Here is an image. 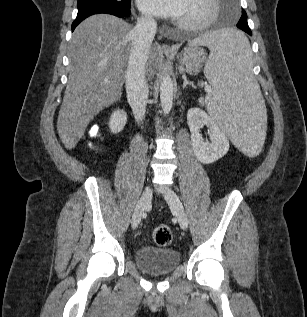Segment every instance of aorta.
Instances as JSON below:
<instances>
[{
	"mask_svg": "<svg viewBox=\"0 0 307 317\" xmlns=\"http://www.w3.org/2000/svg\"><path fill=\"white\" fill-rule=\"evenodd\" d=\"M174 85L171 77H163L160 85V101L164 115H168L173 106Z\"/></svg>",
	"mask_w": 307,
	"mask_h": 317,
	"instance_id": "aorta-1",
	"label": "aorta"
}]
</instances>
